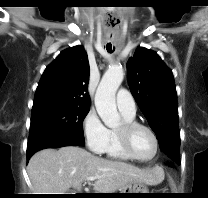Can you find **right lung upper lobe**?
<instances>
[{"label":"right lung upper lobe","instance_id":"1","mask_svg":"<svg viewBox=\"0 0 208 198\" xmlns=\"http://www.w3.org/2000/svg\"><path fill=\"white\" fill-rule=\"evenodd\" d=\"M89 62L82 46L62 51L45 69L36 89L33 108L53 103L89 106Z\"/></svg>","mask_w":208,"mask_h":198}]
</instances>
